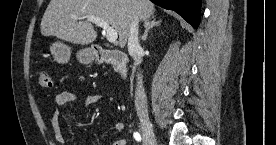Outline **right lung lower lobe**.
Here are the masks:
<instances>
[{
	"label": "right lung lower lobe",
	"instance_id": "obj_1",
	"mask_svg": "<svg viewBox=\"0 0 276 145\" xmlns=\"http://www.w3.org/2000/svg\"><path fill=\"white\" fill-rule=\"evenodd\" d=\"M153 3L168 9L176 11L195 29L200 22L201 0H150Z\"/></svg>",
	"mask_w": 276,
	"mask_h": 145
}]
</instances>
